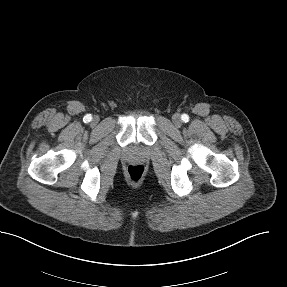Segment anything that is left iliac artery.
Here are the masks:
<instances>
[{
  "label": "left iliac artery",
  "instance_id": "44dca946",
  "mask_svg": "<svg viewBox=\"0 0 287 287\" xmlns=\"http://www.w3.org/2000/svg\"><path fill=\"white\" fill-rule=\"evenodd\" d=\"M181 119L183 122H188L189 121V116L187 114H182Z\"/></svg>",
  "mask_w": 287,
  "mask_h": 287
}]
</instances>
